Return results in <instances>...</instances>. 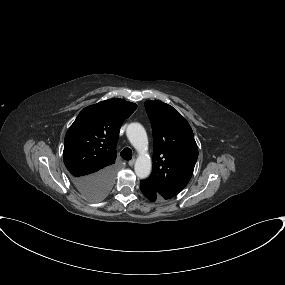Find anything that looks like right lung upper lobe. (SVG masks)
I'll use <instances>...</instances> for the list:
<instances>
[{
	"instance_id": "obj_1",
	"label": "right lung upper lobe",
	"mask_w": 285,
	"mask_h": 285,
	"mask_svg": "<svg viewBox=\"0 0 285 285\" xmlns=\"http://www.w3.org/2000/svg\"><path fill=\"white\" fill-rule=\"evenodd\" d=\"M136 108L135 103L109 99L79 113L64 141V163L71 175H92L115 163L120 127Z\"/></svg>"
}]
</instances>
